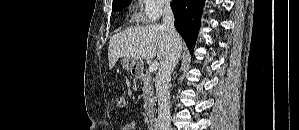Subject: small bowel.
I'll return each instance as SVG.
<instances>
[{
  "label": "small bowel",
  "mask_w": 299,
  "mask_h": 130,
  "mask_svg": "<svg viewBox=\"0 0 299 130\" xmlns=\"http://www.w3.org/2000/svg\"><path fill=\"white\" fill-rule=\"evenodd\" d=\"M136 129V122L130 121L126 123L121 130H135Z\"/></svg>",
  "instance_id": "obj_1"
}]
</instances>
